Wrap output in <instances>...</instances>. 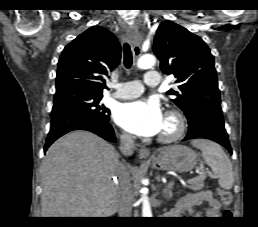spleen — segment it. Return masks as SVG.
<instances>
[{
    "label": "spleen",
    "mask_w": 258,
    "mask_h": 227,
    "mask_svg": "<svg viewBox=\"0 0 258 227\" xmlns=\"http://www.w3.org/2000/svg\"><path fill=\"white\" fill-rule=\"evenodd\" d=\"M191 144L201 150L204 161L218 177L220 187L230 190L234 183L233 167L220 145L206 139H196Z\"/></svg>",
    "instance_id": "3e777b00"
}]
</instances>
